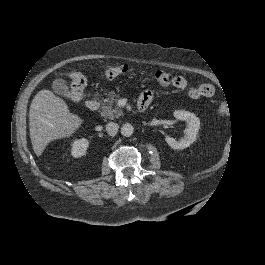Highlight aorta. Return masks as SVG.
<instances>
[{
    "label": "aorta",
    "mask_w": 265,
    "mask_h": 265,
    "mask_svg": "<svg viewBox=\"0 0 265 265\" xmlns=\"http://www.w3.org/2000/svg\"><path fill=\"white\" fill-rule=\"evenodd\" d=\"M134 133V128L131 124H124L121 128V134L124 137H130Z\"/></svg>",
    "instance_id": "1"
}]
</instances>
